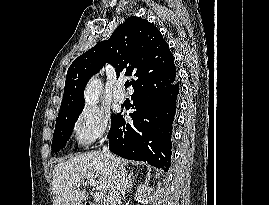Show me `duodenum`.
Here are the masks:
<instances>
[{"instance_id":"1","label":"duodenum","mask_w":269,"mask_h":205,"mask_svg":"<svg viewBox=\"0 0 269 205\" xmlns=\"http://www.w3.org/2000/svg\"><path fill=\"white\" fill-rule=\"evenodd\" d=\"M83 205H94V204L93 203H90V202H87V203H85Z\"/></svg>"}]
</instances>
